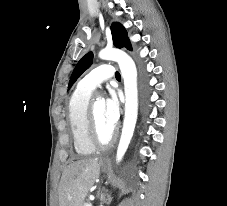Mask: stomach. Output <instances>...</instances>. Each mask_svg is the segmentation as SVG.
Returning <instances> with one entry per match:
<instances>
[{
    "label": "stomach",
    "instance_id": "0dacf381",
    "mask_svg": "<svg viewBox=\"0 0 227 206\" xmlns=\"http://www.w3.org/2000/svg\"><path fill=\"white\" fill-rule=\"evenodd\" d=\"M100 165H101L103 171H107V165L105 163L101 162Z\"/></svg>",
    "mask_w": 227,
    "mask_h": 206
}]
</instances>
